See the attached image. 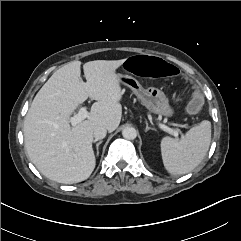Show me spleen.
<instances>
[{
    "instance_id": "spleen-1",
    "label": "spleen",
    "mask_w": 241,
    "mask_h": 241,
    "mask_svg": "<svg viewBox=\"0 0 241 241\" xmlns=\"http://www.w3.org/2000/svg\"><path fill=\"white\" fill-rule=\"evenodd\" d=\"M211 142V123L202 121L181 139L169 136L161 140L164 167L172 175H183L196 168L204 159Z\"/></svg>"
}]
</instances>
